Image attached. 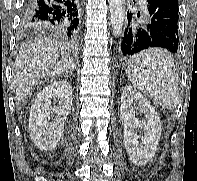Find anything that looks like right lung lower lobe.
Instances as JSON below:
<instances>
[{"instance_id": "right-lung-lower-lobe-1", "label": "right lung lower lobe", "mask_w": 197, "mask_h": 181, "mask_svg": "<svg viewBox=\"0 0 197 181\" xmlns=\"http://www.w3.org/2000/svg\"><path fill=\"white\" fill-rule=\"evenodd\" d=\"M82 2V0H25L22 25L26 28L45 27L76 43L82 24Z\"/></svg>"}]
</instances>
